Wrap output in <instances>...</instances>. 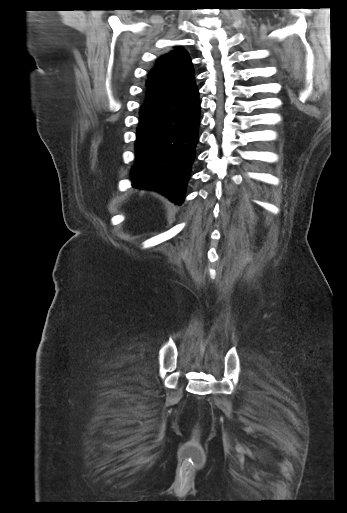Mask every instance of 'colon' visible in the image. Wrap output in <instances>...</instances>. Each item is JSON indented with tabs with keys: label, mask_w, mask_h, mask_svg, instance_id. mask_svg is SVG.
<instances>
[{
	"label": "colon",
	"mask_w": 347,
	"mask_h": 513,
	"mask_svg": "<svg viewBox=\"0 0 347 513\" xmlns=\"http://www.w3.org/2000/svg\"><path fill=\"white\" fill-rule=\"evenodd\" d=\"M182 458L184 462L192 465H201L203 463L204 454L196 438L184 446Z\"/></svg>",
	"instance_id": "1"
}]
</instances>
